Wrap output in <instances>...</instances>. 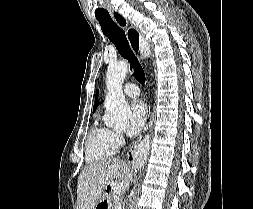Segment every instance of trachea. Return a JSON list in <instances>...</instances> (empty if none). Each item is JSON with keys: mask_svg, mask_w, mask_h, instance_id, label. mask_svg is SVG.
Here are the masks:
<instances>
[{"mask_svg": "<svg viewBox=\"0 0 253 209\" xmlns=\"http://www.w3.org/2000/svg\"><path fill=\"white\" fill-rule=\"evenodd\" d=\"M99 21L101 29L106 37L115 45L120 55L127 59L130 63V69L138 82H145L144 70L131 50L127 37L123 29H121L111 18L110 15H101L96 17Z\"/></svg>", "mask_w": 253, "mask_h": 209, "instance_id": "1", "label": "trachea"}]
</instances>
